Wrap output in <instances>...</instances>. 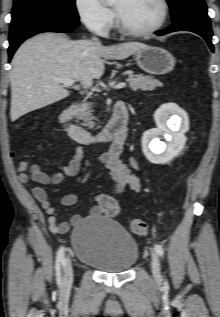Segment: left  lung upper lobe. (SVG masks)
Wrapping results in <instances>:
<instances>
[{
	"mask_svg": "<svg viewBox=\"0 0 220 317\" xmlns=\"http://www.w3.org/2000/svg\"><path fill=\"white\" fill-rule=\"evenodd\" d=\"M172 20L176 21L182 17L191 8H203L206 9L204 0H167Z\"/></svg>",
	"mask_w": 220,
	"mask_h": 317,
	"instance_id": "obj_1",
	"label": "left lung upper lobe"
}]
</instances>
